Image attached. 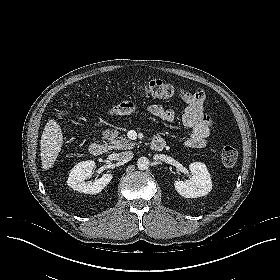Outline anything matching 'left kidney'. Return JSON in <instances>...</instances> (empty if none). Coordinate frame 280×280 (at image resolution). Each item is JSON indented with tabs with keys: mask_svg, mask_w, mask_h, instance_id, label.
I'll list each match as a JSON object with an SVG mask.
<instances>
[{
	"mask_svg": "<svg viewBox=\"0 0 280 280\" xmlns=\"http://www.w3.org/2000/svg\"><path fill=\"white\" fill-rule=\"evenodd\" d=\"M192 178L186 181L176 180V191L185 198H197L207 195L212 190V181L204 163L193 162L189 165Z\"/></svg>",
	"mask_w": 280,
	"mask_h": 280,
	"instance_id": "obj_1",
	"label": "left kidney"
}]
</instances>
